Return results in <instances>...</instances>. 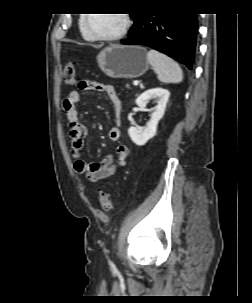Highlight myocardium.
I'll return each instance as SVG.
<instances>
[{"mask_svg": "<svg viewBox=\"0 0 252 303\" xmlns=\"http://www.w3.org/2000/svg\"><path fill=\"white\" fill-rule=\"evenodd\" d=\"M121 15L123 16V26L121 27V29H119L118 31H116L112 34L99 35V34L90 33L89 30L87 29V22H88L87 17L82 20V30L88 38L93 39V40H97V41L117 40V39L123 37L131 26L130 15L128 13H123Z\"/></svg>", "mask_w": 252, "mask_h": 303, "instance_id": "obj_1", "label": "myocardium"}]
</instances>
